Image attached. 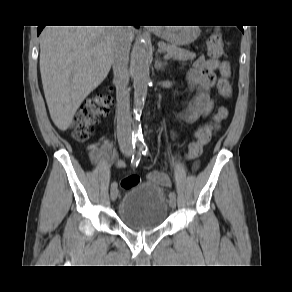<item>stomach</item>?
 Listing matches in <instances>:
<instances>
[{
	"mask_svg": "<svg viewBox=\"0 0 292 292\" xmlns=\"http://www.w3.org/2000/svg\"><path fill=\"white\" fill-rule=\"evenodd\" d=\"M172 45L182 46L193 42L199 35L198 27H166L156 32Z\"/></svg>",
	"mask_w": 292,
	"mask_h": 292,
	"instance_id": "stomach-1",
	"label": "stomach"
}]
</instances>
